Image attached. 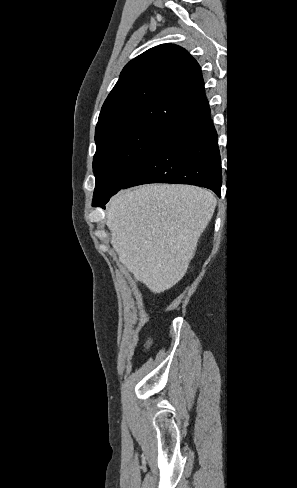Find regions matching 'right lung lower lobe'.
Wrapping results in <instances>:
<instances>
[{"mask_svg":"<svg viewBox=\"0 0 297 488\" xmlns=\"http://www.w3.org/2000/svg\"><path fill=\"white\" fill-rule=\"evenodd\" d=\"M146 183L197 185L220 196V153L210 109L171 129L122 189Z\"/></svg>","mask_w":297,"mask_h":488,"instance_id":"98d812e1","label":"right lung lower lobe"}]
</instances>
